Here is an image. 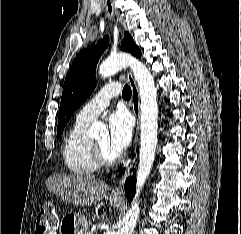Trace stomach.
<instances>
[{
    "instance_id": "stomach-1",
    "label": "stomach",
    "mask_w": 241,
    "mask_h": 234,
    "mask_svg": "<svg viewBox=\"0 0 241 234\" xmlns=\"http://www.w3.org/2000/svg\"><path fill=\"white\" fill-rule=\"evenodd\" d=\"M110 205L117 206L121 202V198L113 195L108 196ZM62 233L67 234H86L87 225L81 215L71 213L64 217L61 222Z\"/></svg>"
}]
</instances>
